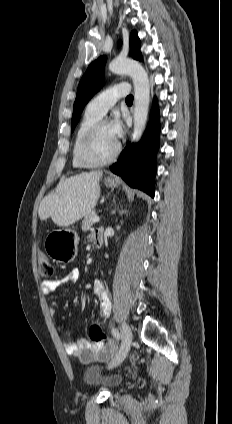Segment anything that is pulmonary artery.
I'll use <instances>...</instances> for the list:
<instances>
[{"label": "pulmonary artery", "mask_w": 232, "mask_h": 424, "mask_svg": "<svg viewBox=\"0 0 232 424\" xmlns=\"http://www.w3.org/2000/svg\"><path fill=\"white\" fill-rule=\"evenodd\" d=\"M129 92V84H116L112 87L105 89L96 97H94L89 102L87 110L102 117L118 101V99L127 96Z\"/></svg>", "instance_id": "1"}]
</instances>
